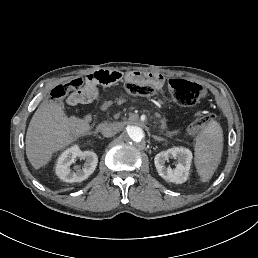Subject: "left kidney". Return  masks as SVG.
<instances>
[{
	"instance_id": "obj_1",
	"label": "left kidney",
	"mask_w": 258,
	"mask_h": 258,
	"mask_svg": "<svg viewBox=\"0 0 258 258\" xmlns=\"http://www.w3.org/2000/svg\"><path fill=\"white\" fill-rule=\"evenodd\" d=\"M169 157H177L179 160L174 169L165 166V162ZM192 159L193 155L191 150L181 146L169 148L161 153H158L155 156L154 163L158 174L163 179L176 184H182L189 178Z\"/></svg>"
}]
</instances>
